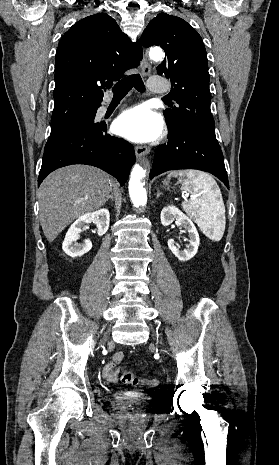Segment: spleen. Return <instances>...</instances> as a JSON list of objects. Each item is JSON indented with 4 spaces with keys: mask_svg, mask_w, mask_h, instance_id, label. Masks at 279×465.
<instances>
[{
    "mask_svg": "<svg viewBox=\"0 0 279 465\" xmlns=\"http://www.w3.org/2000/svg\"><path fill=\"white\" fill-rule=\"evenodd\" d=\"M171 177H179L182 189L191 194L190 200L182 203L184 211L210 239L220 241L226 224L225 205L213 177L195 170L173 171Z\"/></svg>",
    "mask_w": 279,
    "mask_h": 465,
    "instance_id": "3e777b00",
    "label": "spleen"
}]
</instances>
